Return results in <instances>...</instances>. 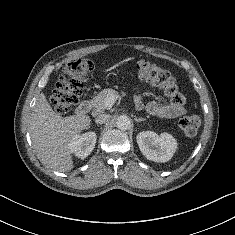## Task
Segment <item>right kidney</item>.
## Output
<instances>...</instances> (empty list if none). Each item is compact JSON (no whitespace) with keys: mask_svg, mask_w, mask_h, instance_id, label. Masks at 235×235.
Instances as JSON below:
<instances>
[{"mask_svg":"<svg viewBox=\"0 0 235 235\" xmlns=\"http://www.w3.org/2000/svg\"><path fill=\"white\" fill-rule=\"evenodd\" d=\"M96 139L95 132L74 136L69 143L70 152L74 153L78 158L84 159L93 151Z\"/></svg>","mask_w":235,"mask_h":235,"instance_id":"right-kidney-1","label":"right kidney"}]
</instances>
